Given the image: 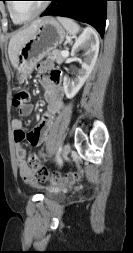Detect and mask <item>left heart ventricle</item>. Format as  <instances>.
<instances>
[{"label": "left heart ventricle", "instance_id": "b2bd125f", "mask_svg": "<svg viewBox=\"0 0 133 253\" xmlns=\"http://www.w3.org/2000/svg\"><path fill=\"white\" fill-rule=\"evenodd\" d=\"M43 4V1H14L13 10L20 19H25L33 15Z\"/></svg>", "mask_w": 133, "mask_h": 253}]
</instances>
